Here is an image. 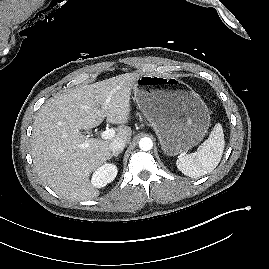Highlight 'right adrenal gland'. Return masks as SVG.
<instances>
[{"label":"right adrenal gland","instance_id":"obj_1","mask_svg":"<svg viewBox=\"0 0 269 269\" xmlns=\"http://www.w3.org/2000/svg\"><path fill=\"white\" fill-rule=\"evenodd\" d=\"M122 151H119V152H116V153H112L111 156H110V159L112 157H118V155L121 153Z\"/></svg>","mask_w":269,"mask_h":269}]
</instances>
